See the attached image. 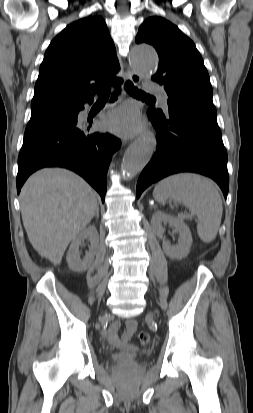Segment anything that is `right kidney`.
Instances as JSON below:
<instances>
[{
    "label": "right kidney",
    "instance_id": "right-kidney-1",
    "mask_svg": "<svg viewBox=\"0 0 253 413\" xmlns=\"http://www.w3.org/2000/svg\"><path fill=\"white\" fill-rule=\"evenodd\" d=\"M90 240L89 251L83 259L80 258L79 246L85 240ZM99 248V236L97 229L91 225L81 231L73 240L66 255L68 266L71 270L76 272L86 271L94 260V256Z\"/></svg>",
    "mask_w": 253,
    "mask_h": 413
}]
</instances>
